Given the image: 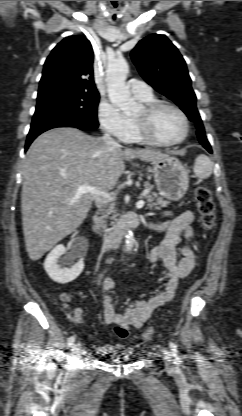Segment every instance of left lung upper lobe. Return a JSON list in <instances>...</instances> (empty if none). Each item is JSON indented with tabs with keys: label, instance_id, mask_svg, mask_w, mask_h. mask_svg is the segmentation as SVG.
<instances>
[{
	"label": "left lung upper lobe",
	"instance_id": "obj_1",
	"mask_svg": "<svg viewBox=\"0 0 242 416\" xmlns=\"http://www.w3.org/2000/svg\"><path fill=\"white\" fill-rule=\"evenodd\" d=\"M131 58L144 80L196 124L199 141L207 142L186 63L176 46L165 35L151 34L136 45Z\"/></svg>",
	"mask_w": 242,
	"mask_h": 416
}]
</instances>
